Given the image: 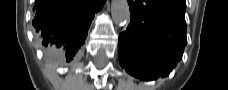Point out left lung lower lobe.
<instances>
[{
    "label": "left lung lower lobe",
    "instance_id": "obj_1",
    "mask_svg": "<svg viewBox=\"0 0 228 90\" xmlns=\"http://www.w3.org/2000/svg\"><path fill=\"white\" fill-rule=\"evenodd\" d=\"M131 22L119 35L120 64L132 76L169 75L187 44L185 0H128Z\"/></svg>",
    "mask_w": 228,
    "mask_h": 90
}]
</instances>
